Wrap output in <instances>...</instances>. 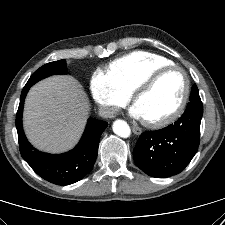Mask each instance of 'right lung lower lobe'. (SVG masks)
I'll list each match as a JSON object with an SVG mask.
<instances>
[{
  "instance_id": "right-lung-lower-lobe-1",
  "label": "right lung lower lobe",
  "mask_w": 225,
  "mask_h": 225,
  "mask_svg": "<svg viewBox=\"0 0 225 225\" xmlns=\"http://www.w3.org/2000/svg\"><path fill=\"white\" fill-rule=\"evenodd\" d=\"M30 87L31 85L26 84L22 90L16 116L20 153L43 179L57 185L75 183L92 170L97 158L101 134L108 123L89 118L84 134L73 150L59 155L40 152L27 141L22 127L23 105Z\"/></svg>"
}]
</instances>
